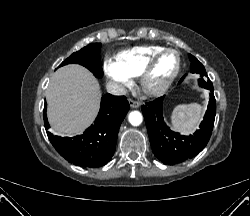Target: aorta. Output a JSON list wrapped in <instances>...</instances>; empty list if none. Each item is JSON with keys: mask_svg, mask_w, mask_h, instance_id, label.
I'll return each mask as SVG.
<instances>
[{"mask_svg": "<svg viewBox=\"0 0 250 216\" xmlns=\"http://www.w3.org/2000/svg\"><path fill=\"white\" fill-rule=\"evenodd\" d=\"M128 120L131 125L139 126L142 123L143 116L139 111H132L129 114Z\"/></svg>", "mask_w": 250, "mask_h": 216, "instance_id": "obj_1", "label": "aorta"}]
</instances>
